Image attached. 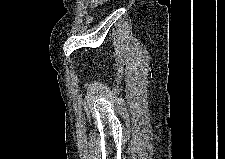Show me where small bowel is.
Segmentation results:
<instances>
[{"label": "small bowel", "mask_w": 225, "mask_h": 159, "mask_svg": "<svg viewBox=\"0 0 225 159\" xmlns=\"http://www.w3.org/2000/svg\"><path fill=\"white\" fill-rule=\"evenodd\" d=\"M97 4H98V2L94 1V2L91 3V6L95 7Z\"/></svg>", "instance_id": "small-bowel-1"}]
</instances>
